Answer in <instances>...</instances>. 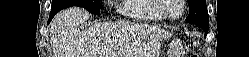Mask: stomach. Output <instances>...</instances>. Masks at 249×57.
Instances as JSON below:
<instances>
[{
    "mask_svg": "<svg viewBox=\"0 0 249 57\" xmlns=\"http://www.w3.org/2000/svg\"><path fill=\"white\" fill-rule=\"evenodd\" d=\"M172 55L176 54V50L171 52ZM172 57V56H171Z\"/></svg>",
    "mask_w": 249,
    "mask_h": 57,
    "instance_id": "1",
    "label": "stomach"
}]
</instances>
